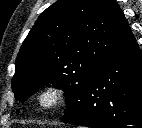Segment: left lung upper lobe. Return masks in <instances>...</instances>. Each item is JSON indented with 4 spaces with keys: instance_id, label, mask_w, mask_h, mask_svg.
I'll return each mask as SVG.
<instances>
[{
    "instance_id": "obj_1",
    "label": "left lung upper lobe",
    "mask_w": 142,
    "mask_h": 128,
    "mask_svg": "<svg viewBox=\"0 0 142 128\" xmlns=\"http://www.w3.org/2000/svg\"><path fill=\"white\" fill-rule=\"evenodd\" d=\"M133 36L115 0H57L39 16L19 50L15 98L25 100L54 83L66 92L63 118L69 116L86 83Z\"/></svg>"
}]
</instances>
